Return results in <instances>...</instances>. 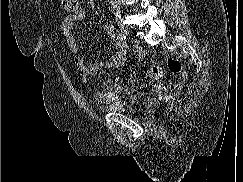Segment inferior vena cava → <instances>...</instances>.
Returning a JSON list of instances; mask_svg holds the SVG:
<instances>
[{
	"label": "inferior vena cava",
	"instance_id": "inferior-vena-cava-1",
	"mask_svg": "<svg viewBox=\"0 0 243 182\" xmlns=\"http://www.w3.org/2000/svg\"><path fill=\"white\" fill-rule=\"evenodd\" d=\"M112 10L115 14H120V0H110Z\"/></svg>",
	"mask_w": 243,
	"mask_h": 182
}]
</instances>
